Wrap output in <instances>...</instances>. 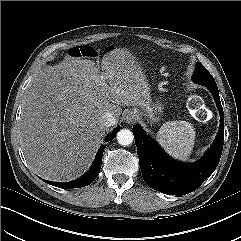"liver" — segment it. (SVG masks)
Here are the masks:
<instances>
[{
  "label": "liver",
  "instance_id": "6515ba94",
  "mask_svg": "<svg viewBox=\"0 0 241 241\" xmlns=\"http://www.w3.org/2000/svg\"><path fill=\"white\" fill-rule=\"evenodd\" d=\"M101 70V71H100ZM141 65L126 49H112L97 65L83 57H66L32 78L18 125L29 168L56 182L74 180L91 166L107 127L100 120L121 106L151 101Z\"/></svg>",
  "mask_w": 241,
  "mask_h": 241
}]
</instances>
